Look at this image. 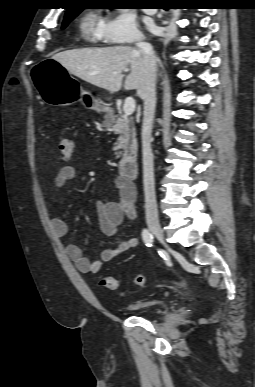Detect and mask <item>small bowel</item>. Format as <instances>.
I'll use <instances>...</instances> for the list:
<instances>
[{
  "mask_svg": "<svg viewBox=\"0 0 255 387\" xmlns=\"http://www.w3.org/2000/svg\"><path fill=\"white\" fill-rule=\"evenodd\" d=\"M63 161H68L71 157H62ZM77 174L76 167L73 165H64L60 167L54 177V187L56 190L61 189L65 184L72 180ZM118 190L117 200L98 199L96 201V212L98 216L99 226L103 234L108 237L117 235L118 228L124 218L135 219L137 212L135 208L136 191L134 185L122 178L115 181ZM53 233L58 238H64L68 233V224L59 216H55L51 220ZM138 239L135 237L128 238L119 242L113 248H106L100 252L97 259L91 261L83 255L81 248L72 243H64V249L68 257L75 264L77 270L81 273L97 274L101 271L103 265L110 262L121 254L134 249L138 246ZM134 308V305H132Z\"/></svg>",
  "mask_w": 255,
  "mask_h": 387,
  "instance_id": "small-bowel-1",
  "label": "small bowel"
}]
</instances>
